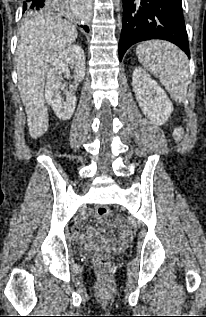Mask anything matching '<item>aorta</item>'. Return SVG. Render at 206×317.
I'll list each match as a JSON object with an SVG mask.
<instances>
[{
  "label": "aorta",
  "instance_id": "1",
  "mask_svg": "<svg viewBox=\"0 0 206 317\" xmlns=\"http://www.w3.org/2000/svg\"><path fill=\"white\" fill-rule=\"evenodd\" d=\"M115 2V6L117 8V10L119 9V6H120V0H114Z\"/></svg>",
  "mask_w": 206,
  "mask_h": 317
}]
</instances>
